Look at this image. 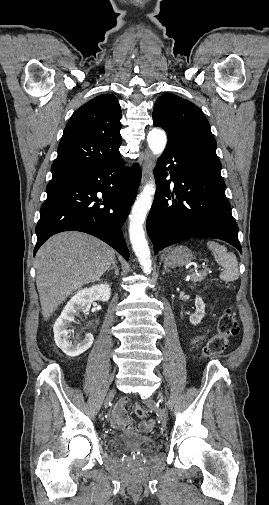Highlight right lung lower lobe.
<instances>
[{"mask_svg":"<svg viewBox=\"0 0 269 505\" xmlns=\"http://www.w3.org/2000/svg\"><path fill=\"white\" fill-rule=\"evenodd\" d=\"M140 179L139 165L127 170L118 155L75 175L50 181L36 226L34 255L52 235L76 230L101 239L128 260L119 227L134 203Z\"/></svg>","mask_w":269,"mask_h":505,"instance_id":"obj_1","label":"right lung lower lobe"}]
</instances>
